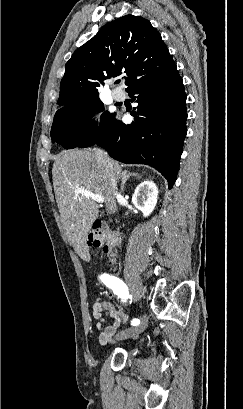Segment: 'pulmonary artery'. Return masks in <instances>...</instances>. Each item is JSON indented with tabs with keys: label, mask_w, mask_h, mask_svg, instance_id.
<instances>
[{
	"label": "pulmonary artery",
	"mask_w": 243,
	"mask_h": 409,
	"mask_svg": "<svg viewBox=\"0 0 243 409\" xmlns=\"http://www.w3.org/2000/svg\"><path fill=\"white\" fill-rule=\"evenodd\" d=\"M112 96L114 97V99L121 101L125 99L126 94L122 89L114 88L112 90Z\"/></svg>",
	"instance_id": "pulmonary-artery-1"
}]
</instances>
